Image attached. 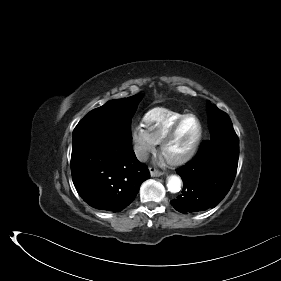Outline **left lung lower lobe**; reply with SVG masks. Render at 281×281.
I'll return each instance as SVG.
<instances>
[{
	"label": "left lung lower lobe",
	"instance_id": "0a47b994",
	"mask_svg": "<svg viewBox=\"0 0 281 281\" xmlns=\"http://www.w3.org/2000/svg\"><path fill=\"white\" fill-rule=\"evenodd\" d=\"M239 142H203L196 157L177 170L183 180L182 194L171 205L184 214L213 208L226 196L236 176Z\"/></svg>",
	"mask_w": 281,
	"mask_h": 281
}]
</instances>
